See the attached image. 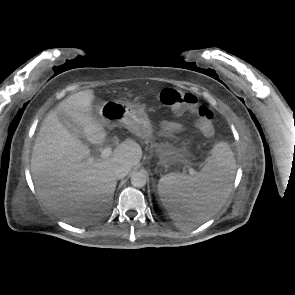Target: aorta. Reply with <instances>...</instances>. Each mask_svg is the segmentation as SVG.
<instances>
[{
  "mask_svg": "<svg viewBox=\"0 0 295 295\" xmlns=\"http://www.w3.org/2000/svg\"><path fill=\"white\" fill-rule=\"evenodd\" d=\"M147 182V175L144 172H135L134 174H132L131 176V184L134 187H144L146 185Z\"/></svg>",
  "mask_w": 295,
  "mask_h": 295,
  "instance_id": "762f6f07",
  "label": "aorta"
}]
</instances>
